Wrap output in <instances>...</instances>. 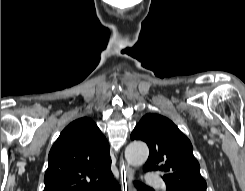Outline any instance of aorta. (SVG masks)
I'll return each instance as SVG.
<instances>
[{"instance_id": "aorta-1", "label": "aorta", "mask_w": 245, "mask_h": 191, "mask_svg": "<svg viewBox=\"0 0 245 191\" xmlns=\"http://www.w3.org/2000/svg\"><path fill=\"white\" fill-rule=\"evenodd\" d=\"M148 155V146L143 142L134 141L130 143L125 150L126 161L132 166H141L144 164Z\"/></svg>"}]
</instances>
